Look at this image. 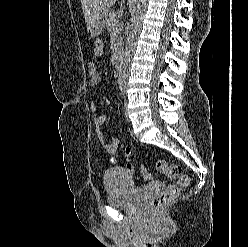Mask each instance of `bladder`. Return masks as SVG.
Instances as JSON below:
<instances>
[{"mask_svg": "<svg viewBox=\"0 0 248 247\" xmlns=\"http://www.w3.org/2000/svg\"><path fill=\"white\" fill-rule=\"evenodd\" d=\"M103 183L107 192L108 203L118 208L133 207L138 201L139 193L145 189L134 186L129 178V173L118 167L106 171Z\"/></svg>", "mask_w": 248, "mask_h": 247, "instance_id": "bladder-1", "label": "bladder"}]
</instances>
